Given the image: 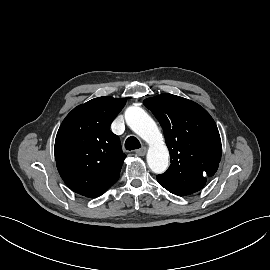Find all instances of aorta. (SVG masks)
Returning <instances> with one entry per match:
<instances>
[{"mask_svg": "<svg viewBox=\"0 0 270 270\" xmlns=\"http://www.w3.org/2000/svg\"><path fill=\"white\" fill-rule=\"evenodd\" d=\"M127 125L149 144L147 163L156 174L169 166V151L155 121L141 108L131 106L125 111Z\"/></svg>", "mask_w": 270, "mask_h": 270, "instance_id": "obj_1", "label": "aorta"}]
</instances>
